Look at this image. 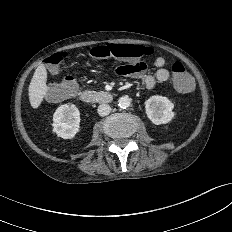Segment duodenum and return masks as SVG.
<instances>
[{"instance_id":"1","label":"duodenum","mask_w":232,"mask_h":232,"mask_svg":"<svg viewBox=\"0 0 232 232\" xmlns=\"http://www.w3.org/2000/svg\"><path fill=\"white\" fill-rule=\"evenodd\" d=\"M80 99L86 104H107L113 100V95L107 91L85 90L80 94Z\"/></svg>"}]
</instances>
